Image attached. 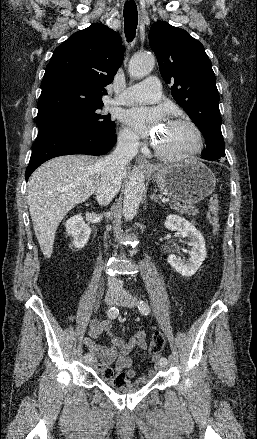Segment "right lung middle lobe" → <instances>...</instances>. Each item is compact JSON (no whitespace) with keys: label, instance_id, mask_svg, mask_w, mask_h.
Segmentation results:
<instances>
[{"label":"right lung middle lobe","instance_id":"dd1d6c3e","mask_svg":"<svg viewBox=\"0 0 257 439\" xmlns=\"http://www.w3.org/2000/svg\"><path fill=\"white\" fill-rule=\"evenodd\" d=\"M103 104L73 110L63 114L37 120L38 128L54 123H74L83 125L92 129L108 133H115V122L110 120V115H101L98 110Z\"/></svg>","mask_w":257,"mask_h":439}]
</instances>
